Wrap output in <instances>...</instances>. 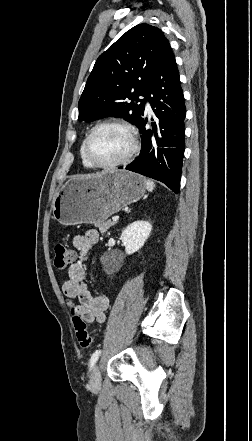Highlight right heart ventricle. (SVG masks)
Returning a JSON list of instances; mask_svg holds the SVG:
<instances>
[{"label":"right heart ventricle","instance_id":"obj_1","mask_svg":"<svg viewBox=\"0 0 252 441\" xmlns=\"http://www.w3.org/2000/svg\"><path fill=\"white\" fill-rule=\"evenodd\" d=\"M83 146H84V141L82 142V144L80 146V150H79V155H80L82 165H83V167H85L87 169H92L93 167L88 163V161L86 160V158L84 156Z\"/></svg>","mask_w":252,"mask_h":441}]
</instances>
